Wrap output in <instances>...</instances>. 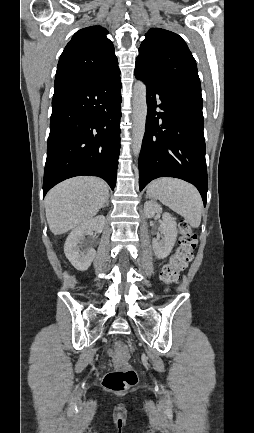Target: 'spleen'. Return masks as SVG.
<instances>
[{"label": "spleen", "mask_w": 254, "mask_h": 433, "mask_svg": "<svg viewBox=\"0 0 254 433\" xmlns=\"http://www.w3.org/2000/svg\"><path fill=\"white\" fill-rule=\"evenodd\" d=\"M147 195L158 198L164 205L181 215L191 227H199L203 203L193 185L176 178H159L149 184Z\"/></svg>", "instance_id": "spleen-1"}]
</instances>
